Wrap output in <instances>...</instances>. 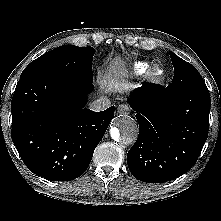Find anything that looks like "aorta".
<instances>
[{"label": "aorta", "mask_w": 221, "mask_h": 221, "mask_svg": "<svg viewBox=\"0 0 221 221\" xmlns=\"http://www.w3.org/2000/svg\"><path fill=\"white\" fill-rule=\"evenodd\" d=\"M111 137L118 143L132 144L138 136V125L135 119L128 115L119 116L110 130Z\"/></svg>", "instance_id": "1"}]
</instances>
